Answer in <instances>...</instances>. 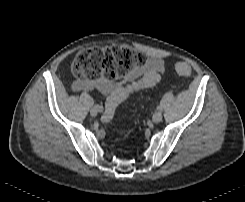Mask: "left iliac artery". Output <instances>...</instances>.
I'll use <instances>...</instances> for the list:
<instances>
[{
    "label": "left iliac artery",
    "mask_w": 245,
    "mask_h": 202,
    "mask_svg": "<svg viewBox=\"0 0 245 202\" xmlns=\"http://www.w3.org/2000/svg\"><path fill=\"white\" fill-rule=\"evenodd\" d=\"M157 111L161 112L162 111V108L160 106H157Z\"/></svg>",
    "instance_id": "1"
}]
</instances>
